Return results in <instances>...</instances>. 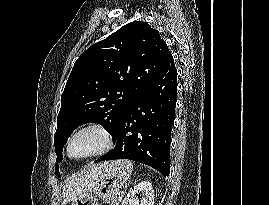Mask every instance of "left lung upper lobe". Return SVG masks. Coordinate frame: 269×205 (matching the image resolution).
<instances>
[{"label": "left lung upper lobe", "instance_id": "obj_1", "mask_svg": "<svg viewBox=\"0 0 269 205\" xmlns=\"http://www.w3.org/2000/svg\"><path fill=\"white\" fill-rule=\"evenodd\" d=\"M171 55L157 30L131 22L90 46L75 62L61 96L54 135L57 162L71 133L99 123L112 134L124 112L153 81ZM58 177V165H55Z\"/></svg>", "mask_w": 269, "mask_h": 205}]
</instances>
